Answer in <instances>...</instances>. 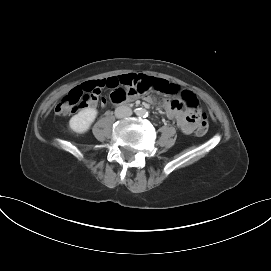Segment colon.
Masks as SVG:
<instances>
[{"mask_svg":"<svg viewBox=\"0 0 271 271\" xmlns=\"http://www.w3.org/2000/svg\"><path fill=\"white\" fill-rule=\"evenodd\" d=\"M95 94H97V90L92 85H88L84 88L81 86L75 87L60 100L55 107V111L58 114H71L77 109L86 107L88 101L93 98ZM182 97L187 106L196 111L194 118L196 123V134L199 136L204 135L208 130V121L206 115L199 110L198 100L194 95L188 92H183ZM179 105L182 104L179 103Z\"/></svg>","mask_w":271,"mask_h":271,"instance_id":"obj_1","label":"colon"}]
</instances>
